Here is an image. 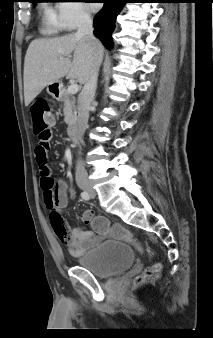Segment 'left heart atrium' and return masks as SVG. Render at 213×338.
Instances as JSON below:
<instances>
[{"label": "left heart atrium", "mask_w": 213, "mask_h": 338, "mask_svg": "<svg viewBox=\"0 0 213 338\" xmlns=\"http://www.w3.org/2000/svg\"><path fill=\"white\" fill-rule=\"evenodd\" d=\"M89 6L92 10H96L99 7L97 3H89Z\"/></svg>", "instance_id": "left-heart-atrium-1"}]
</instances>
